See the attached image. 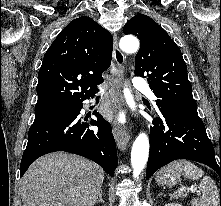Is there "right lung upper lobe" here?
<instances>
[{
  "label": "right lung upper lobe",
  "mask_w": 221,
  "mask_h": 206,
  "mask_svg": "<svg viewBox=\"0 0 221 206\" xmlns=\"http://www.w3.org/2000/svg\"><path fill=\"white\" fill-rule=\"evenodd\" d=\"M112 35L93 19L71 21L44 55L35 107L75 105L95 94L111 63Z\"/></svg>",
  "instance_id": "right-lung-upper-lobe-1"
}]
</instances>
